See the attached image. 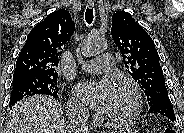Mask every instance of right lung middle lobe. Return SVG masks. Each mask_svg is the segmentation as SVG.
I'll return each instance as SVG.
<instances>
[{
    "mask_svg": "<svg viewBox=\"0 0 184 133\" xmlns=\"http://www.w3.org/2000/svg\"><path fill=\"white\" fill-rule=\"evenodd\" d=\"M57 76H21L13 78L12 97L9 107L17 101L35 94L51 95L58 98L59 89L56 86Z\"/></svg>",
    "mask_w": 184,
    "mask_h": 133,
    "instance_id": "obj_1",
    "label": "right lung middle lobe"
}]
</instances>
